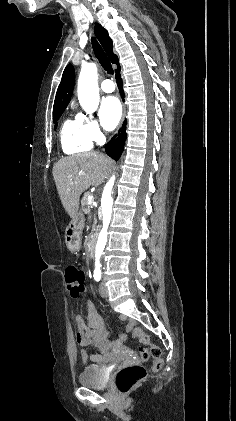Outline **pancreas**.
I'll return each instance as SVG.
<instances>
[{
	"label": "pancreas",
	"mask_w": 236,
	"mask_h": 421,
	"mask_svg": "<svg viewBox=\"0 0 236 421\" xmlns=\"http://www.w3.org/2000/svg\"><path fill=\"white\" fill-rule=\"evenodd\" d=\"M90 192H84V196L81 200L82 202V211L83 213H85V215H91L90 213V206H89V202H88V196H89ZM89 219H91V217H89Z\"/></svg>",
	"instance_id": "pancreas-1"
}]
</instances>
